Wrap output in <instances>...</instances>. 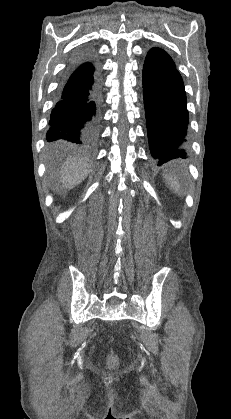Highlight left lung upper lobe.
<instances>
[{
    "instance_id": "obj_1",
    "label": "left lung upper lobe",
    "mask_w": 231,
    "mask_h": 419,
    "mask_svg": "<svg viewBox=\"0 0 231 419\" xmlns=\"http://www.w3.org/2000/svg\"><path fill=\"white\" fill-rule=\"evenodd\" d=\"M151 50L164 51L161 48H152Z\"/></svg>"
}]
</instances>
